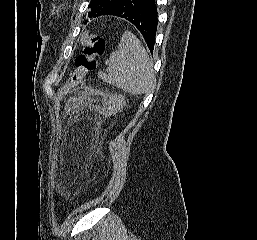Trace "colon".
Masks as SVG:
<instances>
[{"instance_id":"1","label":"colon","mask_w":257,"mask_h":240,"mask_svg":"<svg viewBox=\"0 0 257 240\" xmlns=\"http://www.w3.org/2000/svg\"><path fill=\"white\" fill-rule=\"evenodd\" d=\"M80 44L83 52L76 57L75 70L65 85L58 91V100L70 93L74 88L80 86L86 74L97 69L98 59L106 54V41L96 34H83Z\"/></svg>"}]
</instances>
